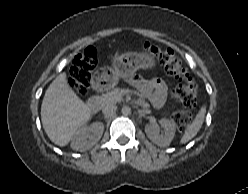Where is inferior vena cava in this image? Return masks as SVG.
<instances>
[{"label":"inferior vena cava","instance_id":"obj_1","mask_svg":"<svg viewBox=\"0 0 248 194\" xmlns=\"http://www.w3.org/2000/svg\"><path fill=\"white\" fill-rule=\"evenodd\" d=\"M116 109H117V107H116L115 105H113V104H108V105L103 106L102 112H103L104 114H111V113L115 112Z\"/></svg>","mask_w":248,"mask_h":194}]
</instances>
